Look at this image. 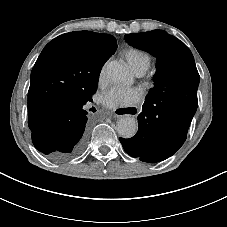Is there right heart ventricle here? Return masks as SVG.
Returning a JSON list of instances; mask_svg holds the SVG:
<instances>
[{"mask_svg": "<svg viewBox=\"0 0 227 227\" xmlns=\"http://www.w3.org/2000/svg\"><path fill=\"white\" fill-rule=\"evenodd\" d=\"M123 55L133 72L141 71L144 73L150 65L151 57L149 53L139 47H126Z\"/></svg>", "mask_w": 227, "mask_h": 227, "instance_id": "right-heart-ventricle-1", "label": "right heart ventricle"}]
</instances>
